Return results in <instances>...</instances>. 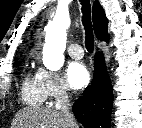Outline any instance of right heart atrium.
<instances>
[{"label": "right heart atrium", "instance_id": "1", "mask_svg": "<svg viewBox=\"0 0 142 128\" xmlns=\"http://www.w3.org/2000/svg\"><path fill=\"white\" fill-rule=\"evenodd\" d=\"M37 77L45 100L61 102L67 98V86L59 74L40 68Z\"/></svg>", "mask_w": 142, "mask_h": 128}]
</instances>
